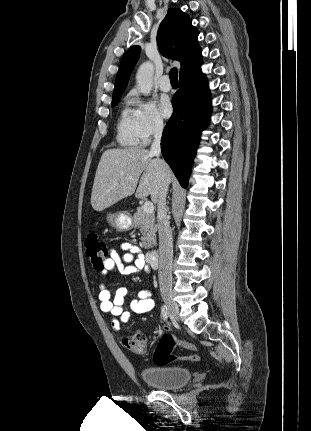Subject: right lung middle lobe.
Returning a JSON list of instances; mask_svg holds the SVG:
<instances>
[{
    "instance_id": "1",
    "label": "right lung middle lobe",
    "mask_w": 311,
    "mask_h": 431,
    "mask_svg": "<svg viewBox=\"0 0 311 431\" xmlns=\"http://www.w3.org/2000/svg\"><path fill=\"white\" fill-rule=\"evenodd\" d=\"M120 97H121V96H119V97H115V98H113V99H112V104H111V105H112V107H114V106H116V105H117V103L119 102Z\"/></svg>"
}]
</instances>
